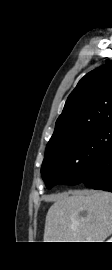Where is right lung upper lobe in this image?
<instances>
[{
	"instance_id": "right-lung-upper-lobe-1",
	"label": "right lung upper lobe",
	"mask_w": 112,
	"mask_h": 270,
	"mask_svg": "<svg viewBox=\"0 0 112 270\" xmlns=\"http://www.w3.org/2000/svg\"><path fill=\"white\" fill-rule=\"evenodd\" d=\"M112 123V61L86 74L69 95L46 149Z\"/></svg>"
}]
</instances>
